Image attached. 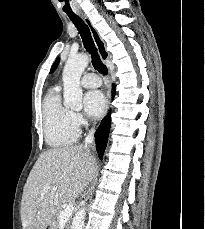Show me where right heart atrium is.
<instances>
[{"label":"right heart atrium","instance_id":"d8ad5b80","mask_svg":"<svg viewBox=\"0 0 205 229\" xmlns=\"http://www.w3.org/2000/svg\"><path fill=\"white\" fill-rule=\"evenodd\" d=\"M73 121L75 125L80 128L87 124L85 117L81 113L73 112Z\"/></svg>","mask_w":205,"mask_h":229}]
</instances>
